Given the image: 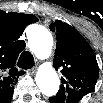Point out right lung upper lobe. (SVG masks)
Masks as SVG:
<instances>
[{
    "instance_id": "right-lung-upper-lobe-1",
    "label": "right lung upper lobe",
    "mask_w": 103,
    "mask_h": 103,
    "mask_svg": "<svg viewBox=\"0 0 103 103\" xmlns=\"http://www.w3.org/2000/svg\"><path fill=\"white\" fill-rule=\"evenodd\" d=\"M38 21L32 14L0 11V101L13 93L16 76L23 74L15 67L25 42L18 40L25 27Z\"/></svg>"
}]
</instances>
